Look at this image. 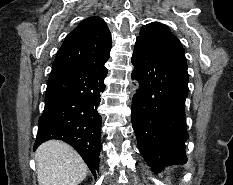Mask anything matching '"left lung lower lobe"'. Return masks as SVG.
<instances>
[{
    "mask_svg": "<svg viewBox=\"0 0 233 185\" xmlns=\"http://www.w3.org/2000/svg\"><path fill=\"white\" fill-rule=\"evenodd\" d=\"M132 64V78L141 80L131 116L140 152L155 173L186 163V61L136 40Z\"/></svg>",
    "mask_w": 233,
    "mask_h": 185,
    "instance_id": "left-lung-lower-lobe-1",
    "label": "left lung lower lobe"
}]
</instances>
